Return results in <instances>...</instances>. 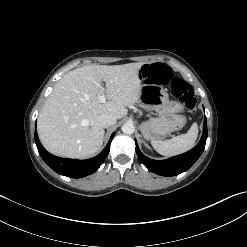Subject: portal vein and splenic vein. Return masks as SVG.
I'll use <instances>...</instances> for the list:
<instances>
[{"mask_svg": "<svg viewBox=\"0 0 247 247\" xmlns=\"http://www.w3.org/2000/svg\"><path fill=\"white\" fill-rule=\"evenodd\" d=\"M99 102H101V103L106 102V96H105L104 94H102V95L99 97Z\"/></svg>", "mask_w": 247, "mask_h": 247, "instance_id": "obj_1", "label": "portal vein and splenic vein"}]
</instances>
